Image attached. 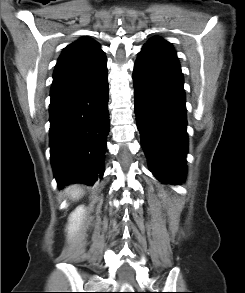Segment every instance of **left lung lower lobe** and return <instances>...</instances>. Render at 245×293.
Masks as SVG:
<instances>
[{"instance_id": "left-lung-lower-lobe-1", "label": "left lung lower lobe", "mask_w": 245, "mask_h": 293, "mask_svg": "<svg viewBox=\"0 0 245 293\" xmlns=\"http://www.w3.org/2000/svg\"><path fill=\"white\" fill-rule=\"evenodd\" d=\"M135 113L150 171L163 183L186 175L188 136L184 80L178 59L143 47L133 70Z\"/></svg>"}]
</instances>
